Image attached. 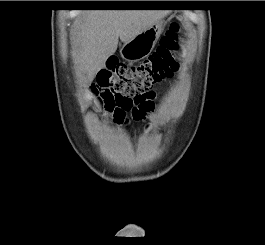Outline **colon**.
Here are the masks:
<instances>
[{"label":"colon","instance_id":"obj_1","mask_svg":"<svg viewBox=\"0 0 265 245\" xmlns=\"http://www.w3.org/2000/svg\"><path fill=\"white\" fill-rule=\"evenodd\" d=\"M179 24L172 23L157 50L142 62L127 65L110 60L96 78L100 110L119 121L128 114H144L153 104V87L170 79L179 68Z\"/></svg>","mask_w":265,"mask_h":245}]
</instances>
